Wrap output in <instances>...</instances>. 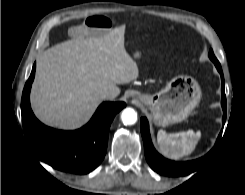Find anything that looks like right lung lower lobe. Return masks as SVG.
Instances as JSON below:
<instances>
[{
	"instance_id": "right-lung-lower-lobe-1",
	"label": "right lung lower lobe",
	"mask_w": 245,
	"mask_h": 195,
	"mask_svg": "<svg viewBox=\"0 0 245 195\" xmlns=\"http://www.w3.org/2000/svg\"><path fill=\"white\" fill-rule=\"evenodd\" d=\"M36 64L27 80L21 100L22 124L26 140L35 156L55 169L73 174H87L103 160L108 133L115 115L124 102L102 103L88 124L75 131L47 127L34 116L29 101Z\"/></svg>"
}]
</instances>
